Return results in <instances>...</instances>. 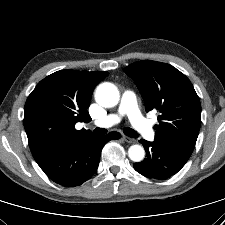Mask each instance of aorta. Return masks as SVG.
Masks as SVG:
<instances>
[{
  "mask_svg": "<svg viewBox=\"0 0 225 225\" xmlns=\"http://www.w3.org/2000/svg\"><path fill=\"white\" fill-rule=\"evenodd\" d=\"M120 94L117 87L109 82L100 84L95 92L96 102L105 108H111L118 104ZM128 156L134 162H140L145 156L144 148L140 145H132L128 149Z\"/></svg>",
  "mask_w": 225,
  "mask_h": 225,
  "instance_id": "obj_1",
  "label": "aorta"
}]
</instances>
